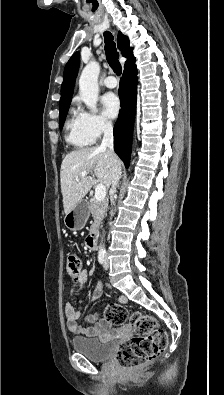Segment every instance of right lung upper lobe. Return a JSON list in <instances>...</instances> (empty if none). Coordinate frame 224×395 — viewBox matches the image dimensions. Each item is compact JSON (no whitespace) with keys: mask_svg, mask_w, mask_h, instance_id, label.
<instances>
[{"mask_svg":"<svg viewBox=\"0 0 224 395\" xmlns=\"http://www.w3.org/2000/svg\"><path fill=\"white\" fill-rule=\"evenodd\" d=\"M117 44L119 50L122 51L123 56L128 58V61L125 63L126 66L135 59L132 54V48L129 46L128 37L119 32ZM78 68L79 53L76 52L67 62L64 69V80L61 87L60 110L70 105Z\"/></svg>","mask_w":224,"mask_h":395,"instance_id":"1","label":"right lung upper lobe"}]
</instances>
